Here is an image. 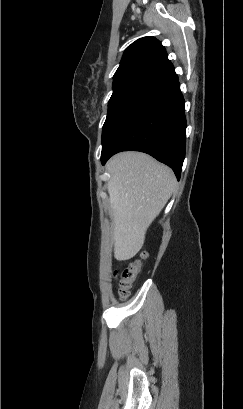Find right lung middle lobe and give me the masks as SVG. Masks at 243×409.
<instances>
[{"label":"right lung middle lobe","mask_w":243,"mask_h":409,"mask_svg":"<svg viewBox=\"0 0 243 409\" xmlns=\"http://www.w3.org/2000/svg\"><path fill=\"white\" fill-rule=\"evenodd\" d=\"M162 80L150 77H135L113 84V94L108 103V113L102 131V150L114 133Z\"/></svg>","instance_id":"obj_1"}]
</instances>
